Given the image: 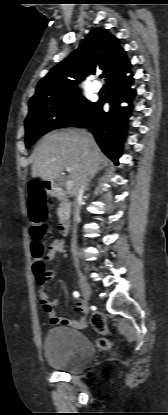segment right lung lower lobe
<instances>
[{
  "label": "right lung lower lobe",
  "instance_id": "obj_1",
  "mask_svg": "<svg viewBox=\"0 0 168 415\" xmlns=\"http://www.w3.org/2000/svg\"><path fill=\"white\" fill-rule=\"evenodd\" d=\"M130 65L107 80L108 93L95 102L92 108L80 119L72 123L73 127L90 130L102 151L118 164L125 139L131 106L121 107V103L131 104L135 90L131 89L132 76L127 77ZM104 103L110 104V111L104 112Z\"/></svg>",
  "mask_w": 168,
  "mask_h": 415
}]
</instances>
